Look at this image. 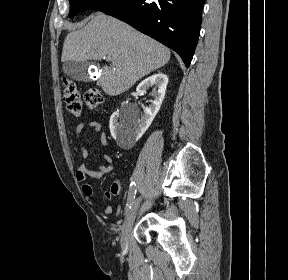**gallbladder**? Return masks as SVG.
I'll return each instance as SVG.
<instances>
[{"instance_id":"1","label":"gallbladder","mask_w":288,"mask_h":280,"mask_svg":"<svg viewBox=\"0 0 288 280\" xmlns=\"http://www.w3.org/2000/svg\"><path fill=\"white\" fill-rule=\"evenodd\" d=\"M89 65L88 61H67L63 64V72L76 81L87 82L90 80L87 72Z\"/></svg>"}]
</instances>
